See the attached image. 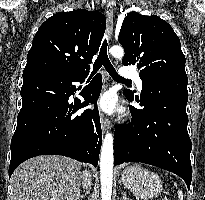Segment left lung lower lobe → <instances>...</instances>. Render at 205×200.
<instances>
[{"label":"left lung lower lobe","instance_id":"obj_1","mask_svg":"<svg viewBox=\"0 0 205 200\" xmlns=\"http://www.w3.org/2000/svg\"><path fill=\"white\" fill-rule=\"evenodd\" d=\"M188 78L171 75L142 83L135 100L143 109L131 107L132 122L118 126L114 133V165L143 162L173 172L189 188L192 180L187 132ZM127 99L132 94L124 92Z\"/></svg>","mask_w":205,"mask_h":200}]
</instances>
